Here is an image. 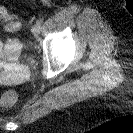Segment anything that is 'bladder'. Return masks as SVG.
I'll return each mask as SVG.
<instances>
[{"instance_id": "31cf9c89", "label": "bladder", "mask_w": 133, "mask_h": 133, "mask_svg": "<svg viewBox=\"0 0 133 133\" xmlns=\"http://www.w3.org/2000/svg\"><path fill=\"white\" fill-rule=\"evenodd\" d=\"M17 59V52L12 47L6 46L4 39L0 38V62H12Z\"/></svg>"}]
</instances>
